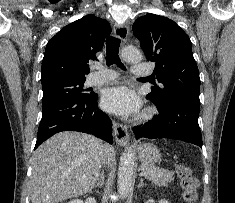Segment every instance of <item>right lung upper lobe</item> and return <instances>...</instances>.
I'll use <instances>...</instances> for the list:
<instances>
[{"instance_id": "right-lung-upper-lobe-1", "label": "right lung upper lobe", "mask_w": 235, "mask_h": 203, "mask_svg": "<svg viewBox=\"0 0 235 203\" xmlns=\"http://www.w3.org/2000/svg\"><path fill=\"white\" fill-rule=\"evenodd\" d=\"M111 32L110 24L95 15H87L61 29L47 44L42 60L41 82L85 80L89 60L103 47Z\"/></svg>"}]
</instances>
